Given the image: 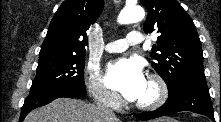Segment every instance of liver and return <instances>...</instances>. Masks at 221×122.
Returning <instances> with one entry per match:
<instances>
[{
	"label": "liver",
	"instance_id": "liver-1",
	"mask_svg": "<svg viewBox=\"0 0 221 122\" xmlns=\"http://www.w3.org/2000/svg\"><path fill=\"white\" fill-rule=\"evenodd\" d=\"M24 122H120L106 117L97 106L82 100L58 98L30 112Z\"/></svg>",
	"mask_w": 221,
	"mask_h": 122
}]
</instances>
